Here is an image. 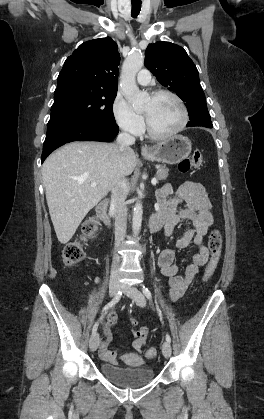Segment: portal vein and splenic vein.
Here are the masks:
<instances>
[{
	"mask_svg": "<svg viewBox=\"0 0 264 419\" xmlns=\"http://www.w3.org/2000/svg\"><path fill=\"white\" fill-rule=\"evenodd\" d=\"M151 182H152V185L155 186L157 184V179L153 178ZM96 185H97L96 182L91 183V187H96Z\"/></svg>",
	"mask_w": 264,
	"mask_h": 419,
	"instance_id": "18ae733b",
	"label": "portal vein and splenic vein"
}]
</instances>
